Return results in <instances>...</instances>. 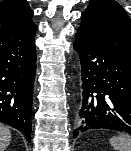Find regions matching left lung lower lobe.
Masks as SVG:
<instances>
[{
  "mask_svg": "<svg viewBox=\"0 0 131 151\" xmlns=\"http://www.w3.org/2000/svg\"><path fill=\"white\" fill-rule=\"evenodd\" d=\"M82 69V103L73 137L91 130L131 134V58L77 32L73 45Z\"/></svg>",
  "mask_w": 131,
  "mask_h": 151,
  "instance_id": "0a47b994",
  "label": "left lung lower lobe"
}]
</instances>
